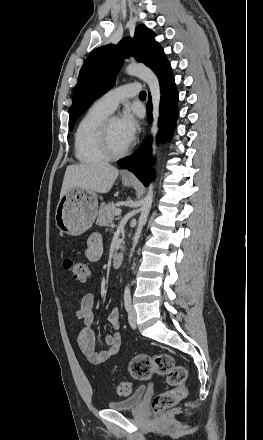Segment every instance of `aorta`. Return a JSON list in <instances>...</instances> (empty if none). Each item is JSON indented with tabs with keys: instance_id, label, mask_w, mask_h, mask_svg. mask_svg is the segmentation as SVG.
Returning a JSON list of instances; mask_svg holds the SVG:
<instances>
[{
	"instance_id": "1",
	"label": "aorta",
	"mask_w": 263,
	"mask_h": 440,
	"mask_svg": "<svg viewBox=\"0 0 263 440\" xmlns=\"http://www.w3.org/2000/svg\"><path fill=\"white\" fill-rule=\"evenodd\" d=\"M126 73L128 75L139 77L140 79L145 81L149 87L152 98V105H153V109H152L153 122L151 127V134L153 137L152 153L154 156L156 154V135L158 133L159 105L161 99V91H160V84L158 77L151 69H149L145 65L137 64V63L129 64L126 67ZM153 190H154V184L150 183L147 194L142 201V206L140 209V217L138 219V226L135 235L133 237V244L130 252V258L132 257L135 247L138 243L143 226L147 222V218L153 202Z\"/></svg>"
}]
</instances>
